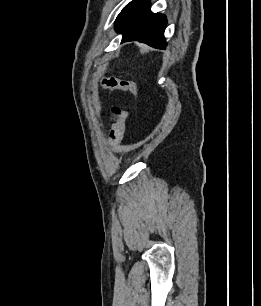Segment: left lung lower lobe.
<instances>
[{"mask_svg": "<svg viewBox=\"0 0 261 306\" xmlns=\"http://www.w3.org/2000/svg\"><path fill=\"white\" fill-rule=\"evenodd\" d=\"M166 17L150 11L148 0H133L123 10L115 29L122 33V43L139 41L154 48L165 49Z\"/></svg>", "mask_w": 261, "mask_h": 306, "instance_id": "obj_1", "label": "left lung lower lobe"}]
</instances>
